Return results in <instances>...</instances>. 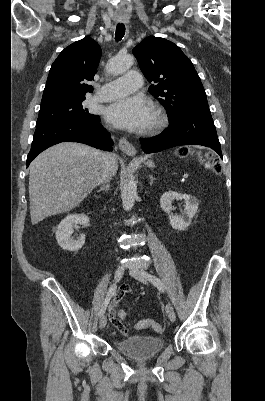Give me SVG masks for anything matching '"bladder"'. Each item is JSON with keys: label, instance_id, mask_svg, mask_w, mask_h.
<instances>
[{"label": "bladder", "instance_id": "31cf9c89", "mask_svg": "<svg viewBox=\"0 0 265 401\" xmlns=\"http://www.w3.org/2000/svg\"><path fill=\"white\" fill-rule=\"evenodd\" d=\"M114 346L123 354L134 358H148L157 355L164 349L162 337L134 336L125 340H115Z\"/></svg>", "mask_w": 265, "mask_h": 401}]
</instances>
